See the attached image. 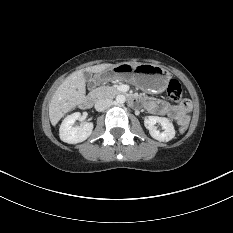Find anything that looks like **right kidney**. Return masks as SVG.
Masks as SVG:
<instances>
[{
	"instance_id": "obj_1",
	"label": "right kidney",
	"mask_w": 233,
	"mask_h": 233,
	"mask_svg": "<svg viewBox=\"0 0 233 233\" xmlns=\"http://www.w3.org/2000/svg\"><path fill=\"white\" fill-rule=\"evenodd\" d=\"M80 117L81 114L75 112L64 118L59 129V136L63 142L76 144L85 141L91 135L93 123L86 122L82 126H73Z\"/></svg>"
}]
</instances>
